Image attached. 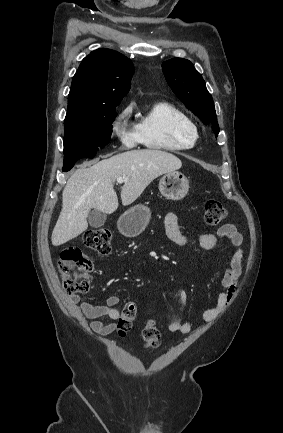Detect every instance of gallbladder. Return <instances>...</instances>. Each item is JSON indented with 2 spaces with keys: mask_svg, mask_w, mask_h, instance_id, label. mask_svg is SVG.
I'll return each instance as SVG.
<instances>
[{
  "mask_svg": "<svg viewBox=\"0 0 283 433\" xmlns=\"http://www.w3.org/2000/svg\"><path fill=\"white\" fill-rule=\"evenodd\" d=\"M106 219L107 214H105V212H101V210H91V212L88 214L89 225L90 227H94V229L103 227Z\"/></svg>",
  "mask_w": 283,
  "mask_h": 433,
  "instance_id": "1",
  "label": "gallbladder"
}]
</instances>
